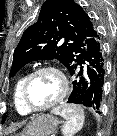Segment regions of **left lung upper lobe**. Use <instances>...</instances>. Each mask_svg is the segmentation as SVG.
<instances>
[{"instance_id":"left-lung-upper-lobe-1","label":"left lung upper lobe","mask_w":117,"mask_h":136,"mask_svg":"<svg viewBox=\"0 0 117 136\" xmlns=\"http://www.w3.org/2000/svg\"><path fill=\"white\" fill-rule=\"evenodd\" d=\"M97 34V27L80 5L72 0H47L37 22L25 30L14 51L10 77L36 60L55 58L70 70Z\"/></svg>"}]
</instances>
